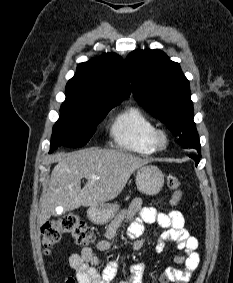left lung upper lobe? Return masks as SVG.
<instances>
[{"mask_svg": "<svg viewBox=\"0 0 233 283\" xmlns=\"http://www.w3.org/2000/svg\"><path fill=\"white\" fill-rule=\"evenodd\" d=\"M126 64L135 99L179 136L182 147L195 148L200 154L189 81L180 65L160 50H135Z\"/></svg>", "mask_w": 233, "mask_h": 283, "instance_id": "obj_1", "label": "left lung upper lobe"}]
</instances>
